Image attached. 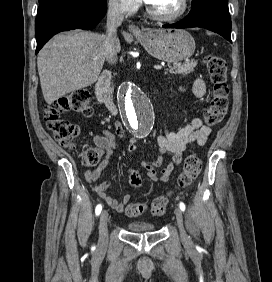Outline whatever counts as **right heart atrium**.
Returning <instances> with one entry per match:
<instances>
[{"label":"right heart atrium","instance_id":"d8ad5b80","mask_svg":"<svg viewBox=\"0 0 272 282\" xmlns=\"http://www.w3.org/2000/svg\"><path fill=\"white\" fill-rule=\"evenodd\" d=\"M109 10L119 16L134 12L138 8L137 0H107Z\"/></svg>","mask_w":272,"mask_h":282}]
</instances>
